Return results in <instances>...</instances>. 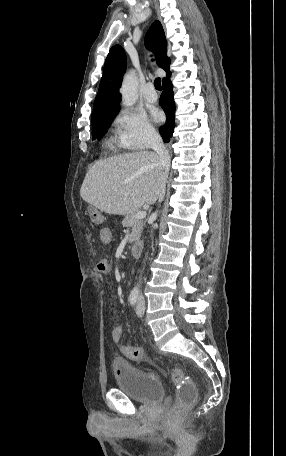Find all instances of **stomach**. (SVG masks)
I'll return each instance as SVG.
<instances>
[{
  "mask_svg": "<svg viewBox=\"0 0 286 456\" xmlns=\"http://www.w3.org/2000/svg\"><path fill=\"white\" fill-rule=\"evenodd\" d=\"M89 216L91 217L92 221H97V219L101 216L97 208L91 207L88 210Z\"/></svg>",
  "mask_w": 286,
  "mask_h": 456,
  "instance_id": "obj_1",
  "label": "stomach"
}]
</instances>
